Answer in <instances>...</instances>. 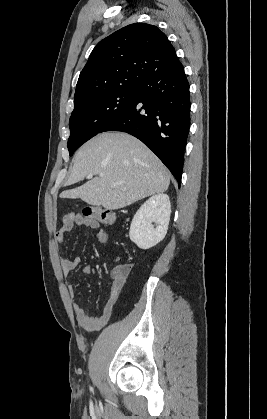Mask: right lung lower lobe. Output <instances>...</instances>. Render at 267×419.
<instances>
[{
	"instance_id": "right-lung-lower-lobe-1",
	"label": "right lung lower lobe",
	"mask_w": 267,
	"mask_h": 419,
	"mask_svg": "<svg viewBox=\"0 0 267 419\" xmlns=\"http://www.w3.org/2000/svg\"><path fill=\"white\" fill-rule=\"evenodd\" d=\"M189 83L180 61L150 75L124 113L104 131L129 133L146 144L181 183L190 129Z\"/></svg>"
}]
</instances>
